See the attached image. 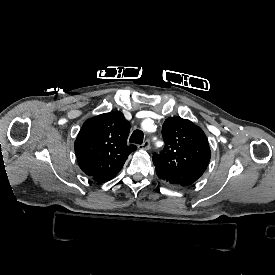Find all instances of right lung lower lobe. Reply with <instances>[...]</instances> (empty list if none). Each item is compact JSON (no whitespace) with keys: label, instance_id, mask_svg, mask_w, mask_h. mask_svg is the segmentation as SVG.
Here are the masks:
<instances>
[{"label":"right lung lower lobe","instance_id":"obj_1","mask_svg":"<svg viewBox=\"0 0 275 275\" xmlns=\"http://www.w3.org/2000/svg\"><path fill=\"white\" fill-rule=\"evenodd\" d=\"M115 176L116 175H113V176H95V177H93V179H95V180H97L99 182H104V181L112 179Z\"/></svg>","mask_w":275,"mask_h":275}]
</instances>
